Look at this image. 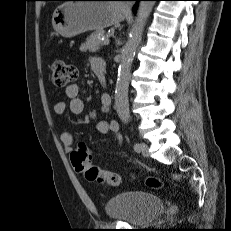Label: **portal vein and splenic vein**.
Listing matches in <instances>:
<instances>
[{"mask_svg":"<svg viewBox=\"0 0 231 231\" xmlns=\"http://www.w3.org/2000/svg\"><path fill=\"white\" fill-rule=\"evenodd\" d=\"M103 45H108L109 44V39H105L103 42H102Z\"/></svg>","mask_w":231,"mask_h":231,"instance_id":"obj_1","label":"portal vein and splenic vein"}]
</instances>
